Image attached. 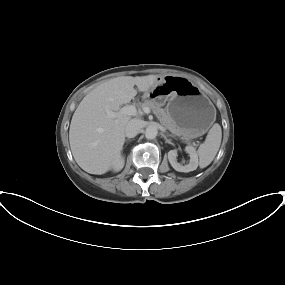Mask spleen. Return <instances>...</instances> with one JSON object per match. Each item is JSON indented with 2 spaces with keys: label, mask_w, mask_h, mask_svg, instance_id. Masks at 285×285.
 <instances>
[{
  "label": "spleen",
  "mask_w": 285,
  "mask_h": 285,
  "mask_svg": "<svg viewBox=\"0 0 285 285\" xmlns=\"http://www.w3.org/2000/svg\"><path fill=\"white\" fill-rule=\"evenodd\" d=\"M222 130L218 123H215L209 130L206 140L198 148L199 166L207 167L215 158L221 144Z\"/></svg>",
  "instance_id": "1"
}]
</instances>
